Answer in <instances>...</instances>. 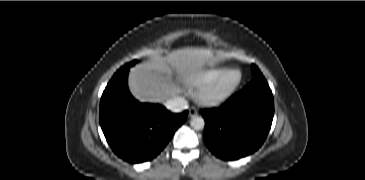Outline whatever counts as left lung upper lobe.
I'll return each mask as SVG.
<instances>
[{
    "label": "left lung upper lobe",
    "instance_id": "left-lung-upper-lobe-1",
    "mask_svg": "<svg viewBox=\"0 0 365 180\" xmlns=\"http://www.w3.org/2000/svg\"><path fill=\"white\" fill-rule=\"evenodd\" d=\"M252 74L253 78L263 77L262 73L258 69V67L254 64H252Z\"/></svg>",
    "mask_w": 365,
    "mask_h": 180
}]
</instances>
